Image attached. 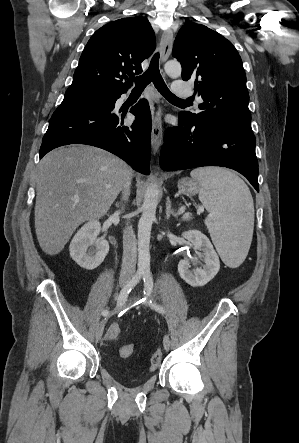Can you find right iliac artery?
<instances>
[{
	"instance_id": "82829eb1",
	"label": "right iliac artery",
	"mask_w": 299,
	"mask_h": 443,
	"mask_svg": "<svg viewBox=\"0 0 299 443\" xmlns=\"http://www.w3.org/2000/svg\"><path fill=\"white\" fill-rule=\"evenodd\" d=\"M141 272H137L133 278L126 284V286L123 287V289L120 291L118 297H117V308H121L127 301V297L131 290L135 287V285L139 282V280L142 277ZM102 315L104 317H109L110 312L108 310H103Z\"/></svg>"
}]
</instances>
